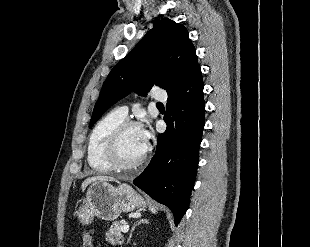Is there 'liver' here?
<instances>
[{
  "label": "liver",
  "instance_id": "1",
  "mask_svg": "<svg viewBox=\"0 0 310 247\" xmlns=\"http://www.w3.org/2000/svg\"><path fill=\"white\" fill-rule=\"evenodd\" d=\"M96 181H106L107 182V181H116V179L113 177H110V176L89 177L82 182V185H81L82 191H84L89 184L96 182Z\"/></svg>",
  "mask_w": 310,
  "mask_h": 247
}]
</instances>
